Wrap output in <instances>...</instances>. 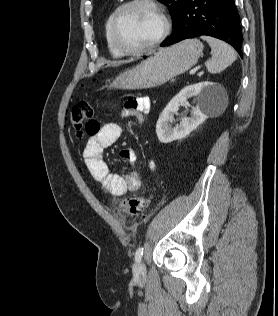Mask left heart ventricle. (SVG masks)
<instances>
[{
    "instance_id": "left-heart-ventricle-1",
    "label": "left heart ventricle",
    "mask_w": 278,
    "mask_h": 316,
    "mask_svg": "<svg viewBox=\"0 0 278 316\" xmlns=\"http://www.w3.org/2000/svg\"><path fill=\"white\" fill-rule=\"evenodd\" d=\"M119 36L129 48H140L152 42L161 31L158 14L148 5L129 8L119 21Z\"/></svg>"
}]
</instances>
